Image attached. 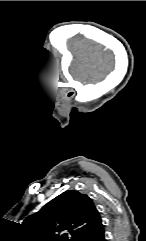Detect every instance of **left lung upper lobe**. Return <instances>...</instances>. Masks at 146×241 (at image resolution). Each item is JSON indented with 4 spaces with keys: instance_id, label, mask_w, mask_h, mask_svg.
<instances>
[{
    "instance_id": "1",
    "label": "left lung upper lobe",
    "mask_w": 146,
    "mask_h": 241,
    "mask_svg": "<svg viewBox=\"0 0 146 241\" xmlns=\"http://www.w3.org/2000/svg\"><path fill=\"white\" fill-rule=\"evenodd\" d=\"M101 222L98 210L87 195L75 190L60 194L23 224L36 241H79Z\"/></svg>"
}]
</instances>
